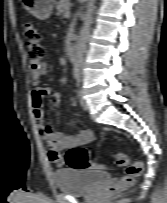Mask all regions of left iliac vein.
<instances>
[{
    "mask_svg": "<svg viewBox=\"0 0 167 203\" xmlns=\"http://www.w3.org/2000/svg\"><path fill=\"white\" fill-rule=\"evenodd\" d=\"M79 97H80V104H81L82 108L86 111L89 110L88 103L83 97V91L82 90L79 91Z\"/></svg>",
    "mask_w": 167,
    "mask_h": 203,
    "instance_id": "4c4485c4",
    "label": "left iliac vein"
}]
</instances>
